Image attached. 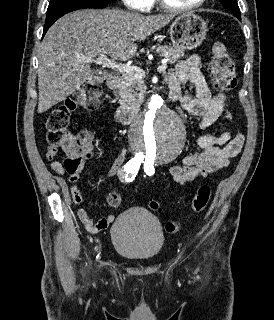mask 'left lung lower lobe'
Here are the masks:
<instances>
[{
    "mask_svg": "<svg viewBox=\"0 0 274 320\" xmlns=\"http://www.w3.org/2000/svg\"><path fill=\"white\" fill-rule=\"evenodd\" d=\"M235 15H236V17H237L239 20H241V13L235 14Z\"/></svg>",
    "mask_w": 274,
    "mask_h": 320,
    "instance_id": "left-lung-lower-lobe-1",
    "label": "left lung lower lobe"
}]
</instances>
